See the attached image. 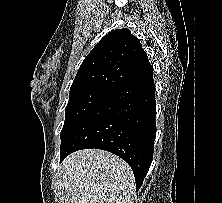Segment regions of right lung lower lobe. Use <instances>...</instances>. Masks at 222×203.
I'll list each match as a JSON object with an SVG mask.
<instances>
[{
	"label": "right lung lower lobe",
	"instance_id": "98d812e1",
	"mask_svg": "<svg viewBox=\"0 0 222 203\" xmlns=\"http://www.w3.org/2000/svg\"><path fill=\"white\" fill-rule=\"evenodd\" d=\"M155 113L153 67L149 66L115 90L61 138L60 161L80 149L109 151L130 165L138 190L153 159Z\"/></svg>",
	"mask_w": 222,
	"mask_h": 203
}]
</instances>
